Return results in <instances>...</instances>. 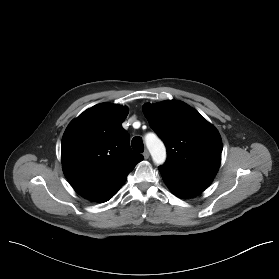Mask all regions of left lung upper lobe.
Returning a JSON list of instances; mask_svg holds the SVG:
<instances>
[{"label": "left lung upper lobe", "instance_id": "1", "mask_svg": "<svg viewBox=\"0 0 279 279\" xmlns=\"http://www.w3.org/2000/svg\"><path fill=\"white\" fill-rule=\"evenodd\" d=\"M143 110L149 125L165 143L168 156L163 168L193 178L215 177L222 140L213 125L180 101L148 103Z\"/></svg>", "mask_w": 279, "mask_h": 279}]
</instances>
